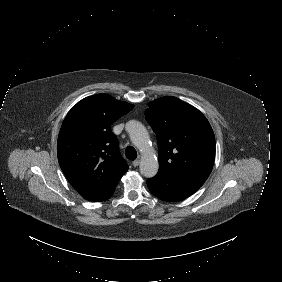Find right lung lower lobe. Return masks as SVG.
I'll return each mask as SVG.
<instances>
[{"instance_id": "98d812e1", "label": "right lung lower lobe", "mask_w": 282, "mask_h": 282, "mask_svg": "<svg viewBox=\"0 0 282 282\" xmlns=\"http://www.w3.org/2000/svg\"><path fill=\"white\" fill-rule=\"evenodd\" d=\"M115 191V190H114ZM114 193V192H113ZM113 193H111V194H109V195H107V196H105V197H103L102 199H100L99 201H104V200H107V199H109L111 196H112V194Z\"/></svg>"}]
</instances>
